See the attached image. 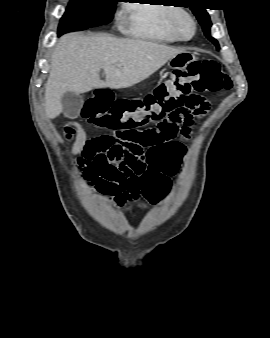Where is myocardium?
Here are the masks:
<instances>
[{"label":"myocardium","instance_id":"f54148a6","mask_svg":"<svg viewBox=\"0 0 270 338\" xmlns=\"http://www.w3.org/2000/svg\"><path fill=\"white\" fill-rule=\"evenodd\" d=\"M183 20H187L191 25V33L188 36H184L180 32V24ZM170 29H171V32L176 37V39L182 40V41H188L192 39V37L195 35V31H196L195 18L188 11L179 10L171 18Z\"/></svg>","mask_w":270,"mask_h":338}]
</instances>
